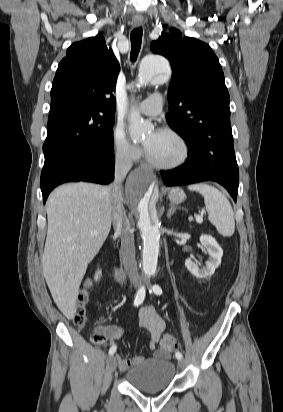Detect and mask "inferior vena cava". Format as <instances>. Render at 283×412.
I'll return each mask as SVG.
<instances>
[{"label":"inferior vena cava","instance_id":"obj_1","mask_svg":"<svg viewBox=\"0 0 283 412\" xmlns=\"http://www.w3.org/2000/svg\"><path fill=\"white\" fill-rule=\"evenodd\" d=\"M132 167V160L126 153H118L115 159V179L110 185V210L113 227L121 239L122 262L130 282L140 284V276L135 259L134 234L126 216L122 197V181Z\"/></svg>","mask_w":283,"mask_h":412}]
</instances>
